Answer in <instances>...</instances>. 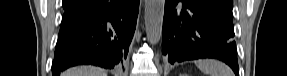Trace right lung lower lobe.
<instances>
[{
    "label": "right lung lower lobe",
    "mask_w": 287,
    "mask_h": 76,
    "mask_svg": "<svg viewBox=\"0 0 287 76\" xmlns=\"http://www.w3.org/2000/svg\"><path fill=\"white\" fill-rule=\"evenodd\" d=\"M139 0H81L65 11L52 63L53 76L78 64L117 68L126 59Z\"/></svg>",
    "instance_id": "1"
}]
</instances>
